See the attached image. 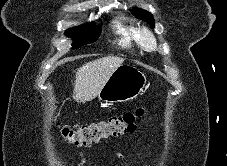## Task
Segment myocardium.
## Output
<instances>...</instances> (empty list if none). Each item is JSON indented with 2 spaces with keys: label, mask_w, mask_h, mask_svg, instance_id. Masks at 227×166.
<instances>
[{
  "label": "myocardium",
  "mask_w": 227,
  "mask_h": 166,
  "mask_svg": "<svg viewBox=\"0 0 227 166\" xmlns=\"http://www.w3.org/2000/svg\"><path fill=\"white\" fill-rule=\"evenodd\" d=\"M137 39L139 45L145 50H151L157 45L155 35L146 27H143L138 31Z\"/></svg>",
  "instance_id": "1"
}]
</instances>
